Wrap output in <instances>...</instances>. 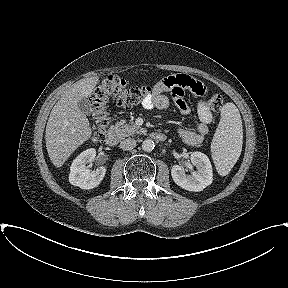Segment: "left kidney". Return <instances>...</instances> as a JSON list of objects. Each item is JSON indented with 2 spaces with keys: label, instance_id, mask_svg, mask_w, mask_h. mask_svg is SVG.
Listing matches in <instances>:
<instances>
[{
  "label": "left kidney",
  "instance_id": "1",
  "mask_svg": "<svg viewBox=\"0 0 288 288\" xmlns=\"http://www.w3.org/2000/svg\"><path fill=\"white\" fill-rule=\"evenodd\" d=\"M190 160L196 170L187 175L182 166L174 165L171 169L172 178L178 186L185 190L202 191L213 181L211 162L204 153L198 151L190 155Z\"/></svg>",
  "mask_w": 288,
  "mask_h": 288
}]
</instances>
